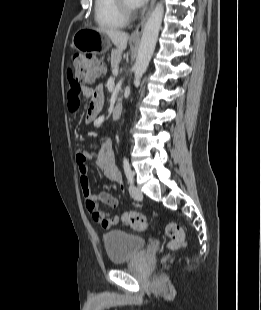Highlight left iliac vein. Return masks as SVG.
<instances>
[{
  "instance_id": "left-iliac-vein-1",
  "label": "left iliac vein",
  "mask_w": 261,
  "mask_h": 310,
  "mask_svg": "<svg viewBox=\"0 0 261 310\" xmlns=\"http://www.w3.org/2000/svg\"><path fill=\"white\" fill-rule=\"evenodd\" d=\"M129 192H130V195L132 196V198H134L135 200H138V201L142 200L143 194L138 187L131 185L129 187Z\"/></svg>"
}]
</instances>
